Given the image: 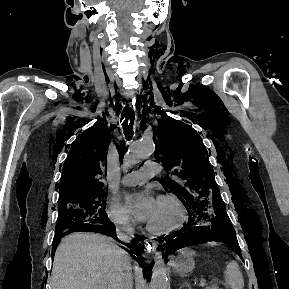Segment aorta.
Segmentation results:
<instances>
[{
    "instance_id": "aorta-1",
    "label": "aorta",
    "mask_w": 289,
    "mask_h": 289,
    "mask_svg": "<svg viewBox=\"0 0 289 289\" xmlns=\"http://www.w3.org/2000/svg\"><path fill=\"white\" fill-rule=\"evenodd\" d=\"M155 145L150 137L136 140L125 155V166L132 167L153 156ZM168 279L164 260L159 255L152 269L150 289H167Z\"/></svg>"
}]
</instances>
